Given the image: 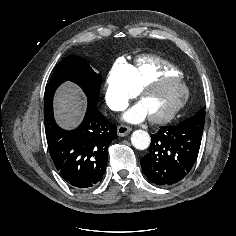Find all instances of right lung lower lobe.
Returning a JSON list of instances; mask_svg holds the SVG:
<instances>
[{
	"mask_svg": "<svg viewBox=\"0 0 236 236\" xmlns=\"http://www.w3.org/2000/svg\"><path fill=\"white\" fill-rule=\"evenodd\" d=\"M49 152L61 177L76 189H90L102 180L108 161V146L117 138L116 126L96 106H88L74 130L60 128L53 109L44 110Z\"/></svg>",
	"mask_w": 236,
	"mask_h": 236,
	"instance_id": "98d812e1",
	"label": "right lung lower lobe"
}]
</instances>
